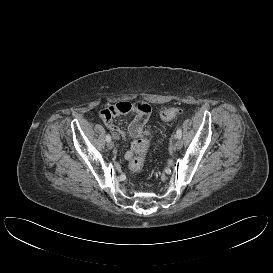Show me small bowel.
Segmentation results:
<instances>
[{"label":"small bowel","instance_id":"1","mask_svg":"<svg viewBox=\"0 0 273 273\" xmlns=\"http://www.w3.org/2000/svg\"><path fill=\"white\" fill-rule=\"evenodd\" d=\"M128 113H133L135 118L128 127L129 136L134 140L132 142L131 149L125 153L126 160H130L133 156L136 143L138 142L137 138L142 134L143 127L151 113V106L143 101H138L135 103L123 101L104 108L99 114L102 121L111 130L114 138L125 139V133L114 124L113 117Z\"/></svg>","mask_w":273,"mask_h":273}]
</instances>
